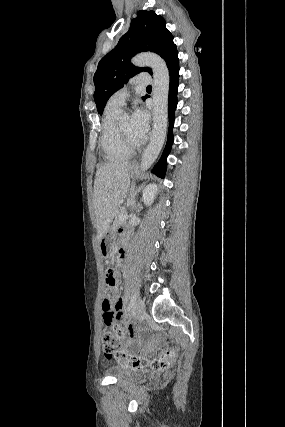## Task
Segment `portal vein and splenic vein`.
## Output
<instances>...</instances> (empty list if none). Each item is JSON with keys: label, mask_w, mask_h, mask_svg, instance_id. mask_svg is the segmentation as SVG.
<instances>
[{"label": "portal vein and splenic vein", "mask_w": 285, "mask_h": 427, "mask_svg": "<svg viewBox=\"0 0 285 427\" xmlns=\"http://www.w3.org/2000/svg\"><path fill=\"white\" fill-rule=\"evenodd\" d=\"M128 218V214L127 213H124L122 216H121V220H126Z\"/></svg>", "instance_id": "1"}]
</instances>
